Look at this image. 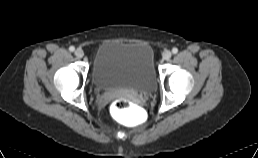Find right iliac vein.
<instances>
[{
	"instance_id": "obj_1",
	"label": "right iliac vein",
	"mask_w": 258,
	"mask_h": 158,
	"mask_svg": "<svg viewBox=\"0 0 258 158\" xmlns=\"http://www.w3.org/2000/svg\"><path fill=\"white\" fill-rule=\"evenodd\" d=\"M75 56H76L77 58H82V57L84 56L83 50H82V49H76V50H75Z\"/></svg>"
}]
</instances>
